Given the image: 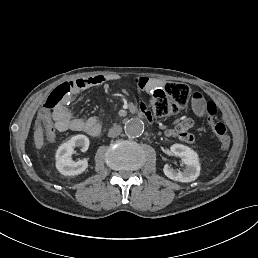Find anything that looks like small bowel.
Masks as SVG:
<instances>
[{
	"mask_svg": "<svg viewBox=\"0 0 258 258\" xmlns=\"http://www.w3.org/2000/svg\"><path fill=\"white\" fill-rule=\"evenodd\" d=\"M118 79L119 76L117 74H109L79 78L72 82L75 84L74 92H79L92 87H108L109 84L116 82ZM135 83L140 90H146L153 86V83L145 77L136 78ZM70 101L71 99L55 109L52 116L43 117L40 114V123L47 141L52 142L55 139L56 131H82L91 136H97L100 133L101 124L97 117L80 118L74 116L72 109L68 106ZM204 105L205 101L202 95L195 92L192 99V109L194 113L203 116ZM140 110L144 117L152 120L151 112L143 103L140 105ZM193 126L194 121L191 118H183L178 121L173 128L167 129L165 135L167 137L178 138L186 143H193L195 141V137L191 133Z\"/></svg>",
	"mask_w": 258,
	"mask_h": 258,
	"instance_id": "c3829d8e",
	"label": "small bowel"
}]
</instances>
